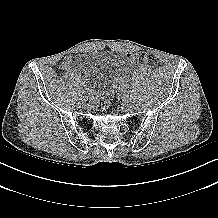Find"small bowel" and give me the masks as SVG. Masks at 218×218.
I'll use <instances>...</instances> for the list:
<instances>
[{"label":"small bowel","mask_w":218,"mask_h":218,"mask_svg":"<svg viewBox=\"0 0 218 218\" xmlns=\"http://www.w3.org/2000/svg\"><path fill=\"white\" fill-rule=\"evenodd\" d=\"M60 68L68 74H73V59H72V57H66L62 61Z\"/></svg>","instance_id":"small-bowel-1"}]
</instances>
